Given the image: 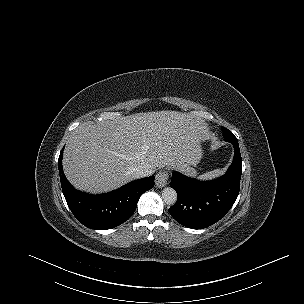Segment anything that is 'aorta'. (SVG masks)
Wrapping results in <instances>:
<instances>
[{
  "label": "aorta",
  "instance_id": "762f6f07",
  "mask_svg": "<svg viewBox=\"0 0 304 304\" xmlns=\"http://www.w3.org/2000/svg\"><path fill=\"white\" fill-rule=\"evenodd\" d=\"M162 199L167 205H174L177 201V192L171 187H166L162 190Z\"/></svg>",
  "mask_w": 304,
  "mask_h": 304
}]
</instances>
